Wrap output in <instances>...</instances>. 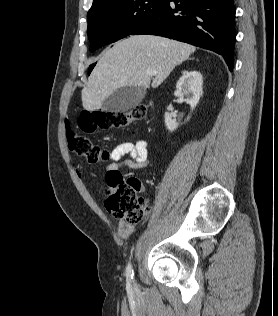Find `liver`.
I'll return each instance as SVG.
<instances>
[{"mask_svg": "<svg viewBox=\"0 0 278 316\" xmlns=\"http://www.w3.org/2000/svg\"><path fill=\"white\" fill-rule=\"evenodd\" d=\"M194 51L192 45L155 35H134L119 41L98 60L82 90V105L89 111L98 110L121 87L148 88L152 77L148 70L156 71L152 81L156 88Z\"/></svg>", "mask_w": 278, "mask_h": 316, "instance_id": "liver-1", "label": "liver"}]
</instances>
